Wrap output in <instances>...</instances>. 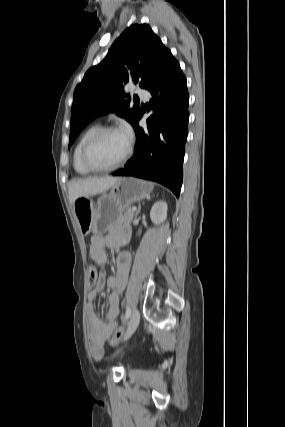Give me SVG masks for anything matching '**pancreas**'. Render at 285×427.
Here are the masks:
<instances>
[{
	"label": "pancreas",
	"instance_id": "obj_1",
	"mask_svg": "<svg viewBox=\"0 0 285 427\" xmlns=\"http://www.w3.org/2000/svg\"><path fill=\"white\" fill-rule=\"evenodd\" d=\"M134 211L131 208H126L121 214V221L124 223H130L133 218Z\"/></svg>",
	"mask_w": 285,
	"mask_h": 427
}]
</instances>
